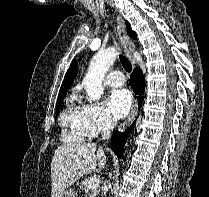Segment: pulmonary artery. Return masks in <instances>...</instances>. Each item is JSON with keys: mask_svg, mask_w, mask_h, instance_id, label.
Masks as SVG:
<instances>
[{"mask_svg": "<svg viewBox=\"0 0 209 197\" xmlns=\"http://www.w3.org/2000/svg\"><path fill=\"white\" fill-rule=\"evenodd\" d=\"M105 83L111 87L122 86L125 83V78L120 71H113L107 76Z\"/></svg>", "mask_w": 209, "mask_h": 197, "instance_id": "1", "label": "pulmonary artery"}]
</instances>
